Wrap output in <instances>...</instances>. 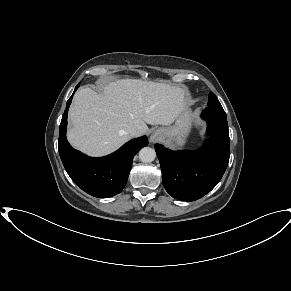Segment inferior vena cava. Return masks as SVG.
<instances>
[{"label":"inferior vena cava","instance_id":"1","mask_svg":"<svg viewBox=\"0 0 291 291\" xmlns=\"http://www.w3.org/2000/svg\"><path fill=\"white\" fill-rule=\"evenodd\" d=\"M143 133L140 131V130H138V129H133L131 132H130V135L132 136V137H139V136H141Z\"/></svg>","mask_w":291,"mask_h":291}]
</instances>
